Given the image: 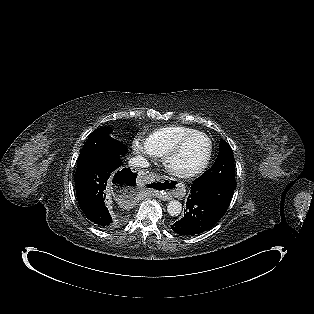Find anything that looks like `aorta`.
<instances>
[{
    "mask_svg": "<svg viewBox=\"0 0 314 314\" xmlns=\"http://www.w3.org/2000/svg\"><path fill=\"white\" fill-rule=\"evenodd\" d=\"M182 211V204L177 200H172L167 205V212L171 216H178Z\"/></svg>",
    "mask_w": 314,
    "mask_h": 314,
    "instance_id": "obj_1",
    "label": "aorta"
}]
</instances>
